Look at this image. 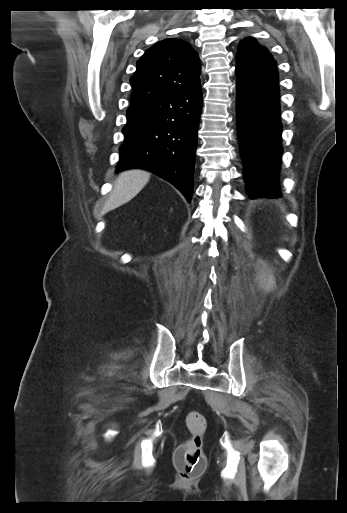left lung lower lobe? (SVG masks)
<instances>
[{"label": "left lung lower lobe", "instance_id": "obj_1", "mask_svg": "<svg viewBox=\"0 0 347 513\" xmlns=\"http://www.w3.org/2000/svg\"><path fill=\"white\" fill-rule=\"evenodd\" d=\"M236 73L237 120L249 198H278L282 125L276 65L238 59Z\"/></svg>", "mask_w": 347, "mask_h": 513}]
</instances>
